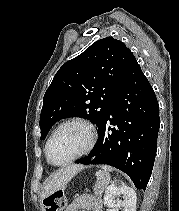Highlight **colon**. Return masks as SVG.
<instances>
[{"mask_svg":"<svg viewBox=\"0 0 179 211\" xmlns=\"http://www.w3.org/2000/svg\"><path fill=\"white\" fill-rule=\"evenodd\" d=\"M43 203L46 211H61L66 204V198L62 191H57L47 196Z\"/></svg>","mask_w":179,"mask_h":211,"instance_id":"1","label":"colon"}]
</instances>
